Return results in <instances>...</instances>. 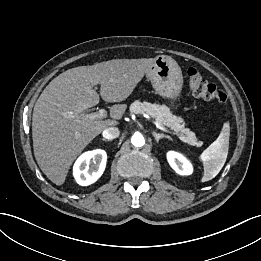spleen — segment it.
<instances>
[{"label":"spleen","mask_w":261,"mask_h":261,"mask_svg":"<svg viewBox=\"0 0 261 261\" xmlns=\"http://www.w3.org/2000/svg\"><path fill=\"white\" fill-rule=\"evenodd\" d=\"M230 125L224 123L218 138L200 155L204 166L202 182L215 178L223 168L229 149Z\"/></svg>","instance_id":"3e777b00"}]
</instances>
